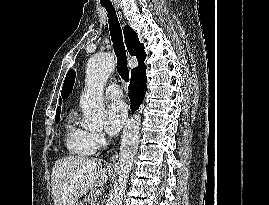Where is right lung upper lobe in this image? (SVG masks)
<instances>
[{
    "mask_svg": "<svg viewBox=\"0 0 269 205\" xmlns=\"http://www.w3.org/2000/svg\"><path fill=\"white\" fill-rule=\"evenodd\" d=\"M124 37L126 41V46L128 49V52L132 56H136L139 66L132 69L131 71V77H133L135 74L145 71L146 66L144 64V60L146 58V53L144 51V46L142 43H140L137 34L135 31L128 25L124 27ZM61 103V101H60ZM60 115V107H58L56 111V116Z\"/></svg>",
    "mask_w": 269,
    "mask_h": 205,
    "instance_id": "right-lung-upper-lobe-1",
    "label": "right lung upper lobe"
}]
</instances>
